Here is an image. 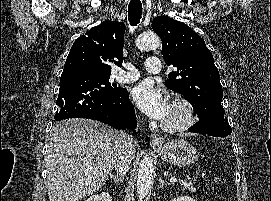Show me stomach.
<instances>
[{
  "label": "stomach",
  "mask_w": 271,
  "mask_h": 201,
  "mask_svg": "<svg viewBox=\"0 0 271 201\" xmlns=\"http://www.w3.org/2000/svg\"><path fill=\"white\" fill-rule=\"evenodd\" d=\"M153 148L165 162L179 167L189 166L199 157L196 148L185 140H173Z\"/></svg>",
  "instance_id": "stomach-1"
}]
</instances>
